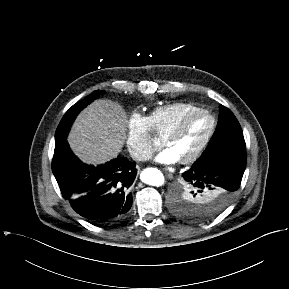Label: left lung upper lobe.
<instances>
[{
  "instance_id": "obj_1",
  "label": "left lung upper lobe",
  "mask_w": 289,
  "mask_h": 289,
  "mask_svg": "<svg viewBox=\"0 0 289 289\" xmlns=\"http://www.w3.org/2000/svg\"><path fill=\"white\" fill-rule=\"evenodd\" d=\"M219 108L216 130L200 158L222 150L246 148L241 126L233 113L223 105ZM171 207L177 217L188 221L200 222L215 217L206 211V198L185 181L174 193Z\"/></svg>"
}]
</instances>
